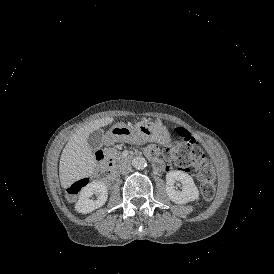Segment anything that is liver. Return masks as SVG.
<instances>
[{"label":"liver","mask_w":274,"mask_h":274,"mask_svg":"<svg viewBox=\"0 0 274 274\" xmlns=\"http://www.w3.org/2000/svg\"><path fill=\"white\" fill-rule=\"evenodd\" d=\"M113 122V117L96 119L78 129L68 140L60 157L59 177L63 188L89 177L96 167V159L87 142L88 136L95 130Z\"/></svg>","instance_id":"6515ba94"}]
</instances>
